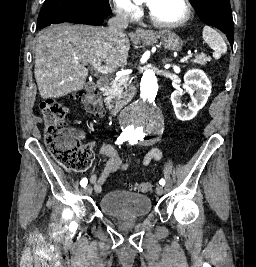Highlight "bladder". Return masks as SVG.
<instances>
[{"label":"bladder","mask_w":256,"mask_h":267,"mask_svg":"<svg viewBox=\"0 0 256 267\" xmlns=\"http://www.w3.org/2000/svg\"><path fill=\"white\" fill-rule=\"evenodd\" d=\"M99 207L101 212L113 217L139 218L151 212V201L150 197L144 194L115 190L102 195Z\"/></svg>","instance_id":"1"}]
</instances>
